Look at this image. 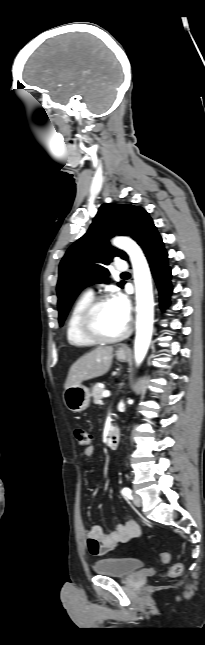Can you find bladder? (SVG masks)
<instances>
[{
    "instance_id": "31cf9c89",
    "label": "bladder",
    "mask_w": 205,
    "mask_h": 645,
    "mask_svg": "<svg viewBox=\"0 0 205 645\" xmlns=\"http://www.w3.org/2000/svg\"><path fill=\"white\" fill-rule=\"evenodd\" d=\"M144 563L137 558L116 557L97 561L93 569L97 574L114 577H129L143 569Z\"/></svg>"
}]
</instances>
